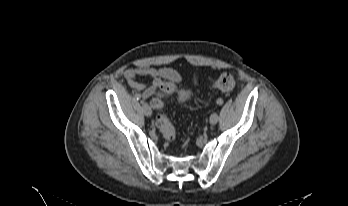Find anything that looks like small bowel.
Listing matches in <instances>:
<instances>
[{
	"label": "small bowel",
	"mask_w": 348,
	"mask_h": 206,
	"mask_svg": "<svg viewBox=\"0 0 348 206\" xmlns=\"http://www.w3.org/2000/svg\"><path fill=\"white\" fill-rule=\"evenodd\" d=\"M124 77L131 88L142 91V97L144 99L154 96L165 81L175 84L180 81L179 74L171 68L144 66L126 69L124 71ZM138 77H148L150 78V83L147 85L143 84L138 81Z\"/></svg>",
	"instance_id": "1"
}]
</instances>
